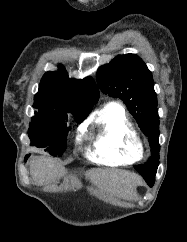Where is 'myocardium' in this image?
I'll use <instances>...</instances> for the list:
<instances>
[{"instance_id": "obj_1", "label": "myocardium", "mask_w": 187, "mask_h": 242, "mask_svg": "<svg viewBox=\"0 0 187 242\" xmlns=\"http://www.w3.org/2000/svg\"><path fill=\"white\" fill-rule=\"evenodd\" d=\"M138 147H139L141 153L143 154L144 153V144L142 143L141 140H139V142H138Z\"/></svg>"}]
</instances>
